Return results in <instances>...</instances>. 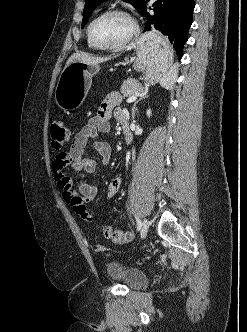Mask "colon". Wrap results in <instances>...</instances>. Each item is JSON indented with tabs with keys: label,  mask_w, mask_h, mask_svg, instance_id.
Instances as JSON below:
<instances>
[{
	"label": "colon",
	"mask_w": 247,
	"mask_h": 332,
	"mask_svg": "<svg viewBox=\"0 0 247 332\" xmlns=\"http://www.w3.org/2000/svg\"><path fill=\"white\" fill-rule=\"evenodd\" d=\"M51 144L54 149H62L70 139V130L63 120H55L50 127ZM104 236L114 243L124 244L133 240V235L129 231L114 230L106 228Z\"/></svg>",
	"instance_id": "5ec220e1"
}]
</instances>
